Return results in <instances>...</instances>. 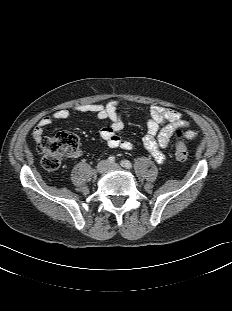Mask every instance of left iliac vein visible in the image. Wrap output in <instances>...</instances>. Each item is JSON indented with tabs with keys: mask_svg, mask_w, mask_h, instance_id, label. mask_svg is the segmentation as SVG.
Segmentation results:
<instances>
[{
	"mask_svg": "<svg viewBox=\"0 0 232 311\" xmlns=\"http://www.w3.org/2000/svg\"><path fill=\"white\" fill-rule=\"evenodd\" d=\"M120 165L117 163H111L109 164V169H119Z\"/></svg>",
	"mask_w": 232,
	"mask_h": 311,
	"instance_id": "4c4485c4",
	"label": "left iliac vein"
}]
</instances>
